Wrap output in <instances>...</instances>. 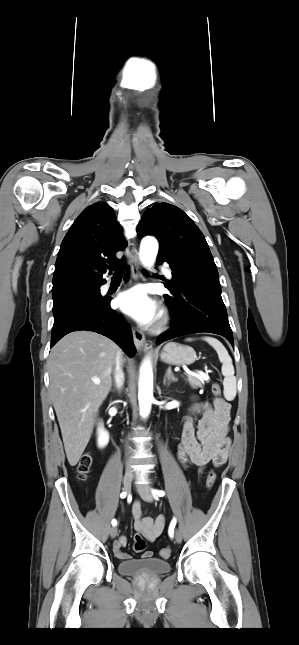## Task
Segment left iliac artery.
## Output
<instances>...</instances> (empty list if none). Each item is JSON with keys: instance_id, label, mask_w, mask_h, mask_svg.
<instances>
[{"instance_id": "44dca946", "label": "left iliac artery", "mask_w": 299, "mask_h": 645, "mask_svg": "<svg viewBox=\"0 0 299 645\" xmlns=\"http://www.w3.org/2000/svg\"><path fill=\"white\" fill-rule=\"evenodd\" d=\"M152 493L155 498H157V496L163 497L165 495V492L163 490H152ZM175 525H176V518H173L168 530L169 536L171 538L173 537V534H174Z\"/></svg>"}]
</instances>
